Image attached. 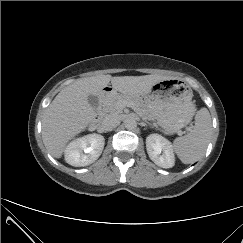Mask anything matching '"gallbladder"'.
<instances>
[{
  "label": "gallbladder",
  "instance_id": "bac80fb5",
  "mask_svg": "<svg viewBox=\"0 0 243 243\" xmlns=\"http://www.w3.org/2000/svg\"><path fill=\"white\" fill-rule=\"evenodd\" d=\"M88 102L93 108H97L99 105V99L97 96L89 95L88 96Z\"/></svg>",
  "mask_w": 243,
  "mask_h": 243
}]
</instances>
